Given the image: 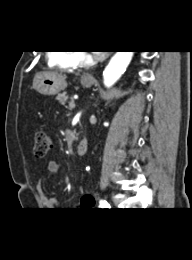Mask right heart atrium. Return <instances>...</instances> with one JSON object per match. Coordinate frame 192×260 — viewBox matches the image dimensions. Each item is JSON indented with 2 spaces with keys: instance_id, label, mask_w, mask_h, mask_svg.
<instances>
[{
  "instance_id": "right-heart-atrium-1",
  "label": "right heart atrium",
  "mask_w": 192,
  "mask_h": 260,
  "mask_svg": "<svg viewBox=\"0 0 192 260\" xmlns=\"http://www.w3.org/2000/svg\"><path fill=\"white\" fill-rule=\"evenodd\" d=\"M78 60H79V62H84L86 60V55L83 53H80L78 55Z\"/></svg>"
}]
</instances>
